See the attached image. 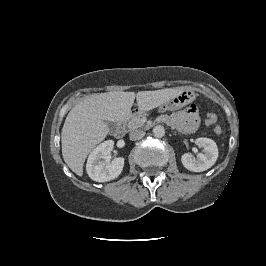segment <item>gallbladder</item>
<instances>
[{
  "label": "gallbladder",
  "instance_id": "bac80fb5",
  "mask_svg": "<svg viewBox=\"0 0 266 266\" xmlns=\"http://www.w3.org/2000/svg\"><path fill=\"white\" fill-rule=\"evenodd\" d=\"M107 125H108L109 129L112 130V131L116 129V124L115 123L107 122Z\"/></svg>",
  "mask_w": 266,
  "mask_h": 266
}]
</instances>
